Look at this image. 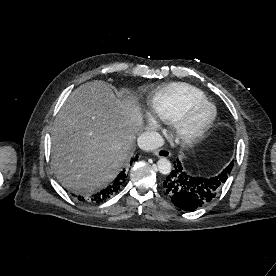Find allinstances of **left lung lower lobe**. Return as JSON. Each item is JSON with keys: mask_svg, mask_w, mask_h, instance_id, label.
<instances>
[{"mask_svg": "<svg viewBox=\"0 0 276 276\" xmlns=\"http://www.w3.org/2000/svg\"><path fill=\"white\" fill-rule=\"evenodd\" d=\"M232 167L233 162L219 175L202 178L183 169L177 159L174 169L163 182V189L177 207L184 210H194L216 197L226 182Z\"/></svg>", "mask_w": 276, "mask_h": 276, "instance_id": "0a47b994", "label": "left lung lower lobe"}]
</instances>
